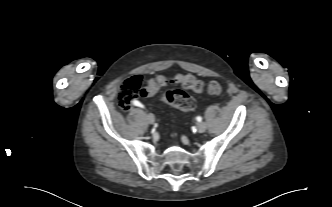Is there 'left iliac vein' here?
<instances>
[{"label": "left iliac vein", "mask_w": 332, "mask_h": 207, "mask_svg": "<svg viewBox=\"0 0 332 207\" xmlns=\"http://www.w3.org/2000/svg\"><path fill=\"white\" fill-rule=\"evenodd\" d=\"M206 128H207V126H206V123L205 122H198V124H197V131L199 132V133H203V132H205V130H206Z\"/></svg>", "instance_id": "4c4485c4"}]
</instances>
